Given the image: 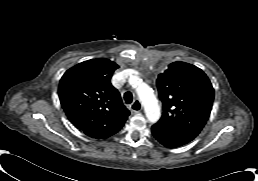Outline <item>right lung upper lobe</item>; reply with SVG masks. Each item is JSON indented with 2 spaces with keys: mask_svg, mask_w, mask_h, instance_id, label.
<instances>
[{
  "mask_svg": "<svg viewBox=\"0 0 258 181\" xmlns=\"http://www.w3.org/2000/svg\"><path fill=\"white\" fill-rule=\"evenodd\" d=\"M119 66L105 58L70 68L59 84V98L69 120L87 135L124 124L130 112L110 79Z\"/></svg>",
  "mask_w": 258,
  "mask_h": 181,
  "instance_id": "right-lung-upper-lobe-1",
  "label": "right lung upper lobe"
}]
</instances>
